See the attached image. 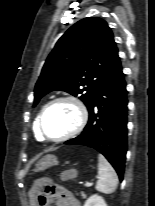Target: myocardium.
Here are the masks:
<instances>
[{"label": "myocardium", "instance_id": "1", "mask_svg": "<svg viewBox=\"0 0 155 206\" xmlns=\"http://www.w3.org/2000/svg\"><path fill=\"white\" fill-rule=\"evenodd\" d=\"M59 103H69L76 109L77 117H78L77 124L71 131H69L65 135L61 137L52 138V137L47 136L43 131V119L46 113L48 112V110L52 108L54 105L59 104ZM87 121H88V110L84 102L77 96L63 95V96L54 98L53 100H51L49 103H47L43 107L38 117L37 130H38L40 137L43 140H47L51 142H63L80 134L82 130L84 129V127L86 126Z\"/></svg>", "mask_w": 155, "mask_h": 206}]
</instances>
